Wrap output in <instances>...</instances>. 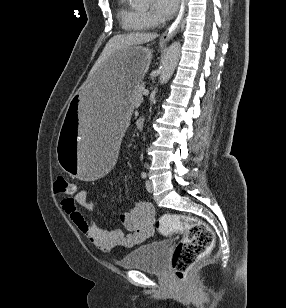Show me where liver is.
Listing matches in <instances>:
<instances>
[{"instance_id":"1","label":"liver","mask_w":286,"mask_h":308,"mask_svg":"<svg viewBox=\"0 0 286 308\" xmlns=\"http://www.w3.org/2000/svg\"><path fill=\"white\" fill-rule=\"evenodd\" d=\"M157 36L158 35L156 33H140V32L115 35L106 44L98 60L92 67L88 77H91L93 73L102 65V63L105 62L115 52L129 46L148 43L156 39Z\"/></svg>"}]
</instances>
